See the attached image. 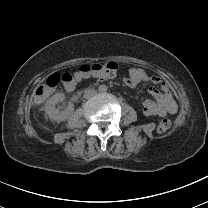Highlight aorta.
<instances>
[{
    "label": "aorta",
    "instance_id": "aorta-1",
    "mask_svg": "<svg viewBox=\"0 0 208 208\" xmlns=\"http://www.w3.org/2000/svg\"><path fill=\"white\" fill-rule=\"evenodd\" d=\"M96 91L98 94L103 95L107 92V87L103 84L97 86Z\"/></svg>",
    "mask_w": 208,
    "mask_h": 208
}]
</instances>
